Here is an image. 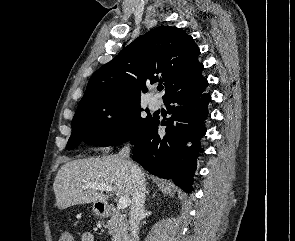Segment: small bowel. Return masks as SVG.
<instances>
[{"mask_svg": "<svg viewBox=\"0 0 295 241\" xmlns=\"http://www.w3.org/2000/svg\"><path fill=\"white\" fill-rule=\"evenodd\" d=\"M59 241H61V237ZM82 241H95V238L92 233L87 232L83 234Z\"/></svg>", "mask_w": 295, "mask_h": 241, "instance_id": "c3829d8e", "label": "small bowel"}]
</instances>
